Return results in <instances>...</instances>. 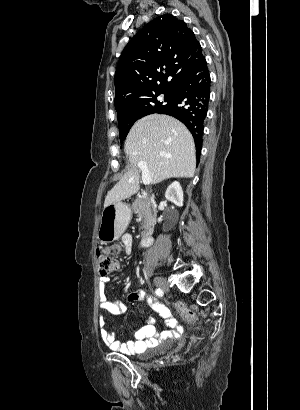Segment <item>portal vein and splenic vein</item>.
<instances>
[{
	"label": "portal vein and splenic vein",
	"mask_w": 300,
	"mask_h": 410,
	"mask_svg": "<svg viewBox=\"0 0 300 410\" xmlns=\"http://www.w3.org/2000/svg\"><path fill=\"white\" fill-rule=\"evenodd\" d=\"M138 167L142 171V182L144 185H149L151 183V176L149 174L147 164L145 162H140Z\"/></svg>",
	"instance_id": "1"
}]
</instances>
